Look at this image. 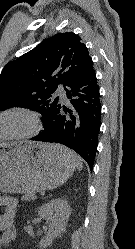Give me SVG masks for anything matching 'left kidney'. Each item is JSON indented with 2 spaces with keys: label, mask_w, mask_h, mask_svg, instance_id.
Listing matches in <instances>:
<instances>
[{
  "label": "left kidney",
  "mask_w": 135,
  "mask_h": 249,
  "mask_svg": "<svg viewBox=\"0 0 135 249\" xmlns=\"http://www.w3.org/2000/svg\"><path fill=\"white\" fill-rule=\"evenodd\" d=\"M38 215L49 223L46 236L39 242V247L45 249L65 231L70 216V206L67 200L53 199L40 207Z\"/></svg>",
  "instance_id": "1"
}]
</instances>
